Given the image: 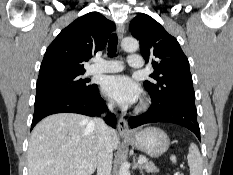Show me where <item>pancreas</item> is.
Returning a JSON list of instances; mask_svg holds the SVG:
<instances>
[{"mask_svg": "<svg viewBox=\"0 0 233 175\" xmlns=\"http://www.w3.org/2000/svg\"><path fill=\"white\" fill-rule=\"evenodd\" d=\"M143 157V156H141ZM145 158V157H144ZM142 168L145 169L147 173L158 172L157 167L153 164V162H149L148 160L142 164Z\"/></svg>", "mask_w": 233, "mask_h": 175, "instance_id": "cf45deb5", "label": "pancreas"}]
</instances>
